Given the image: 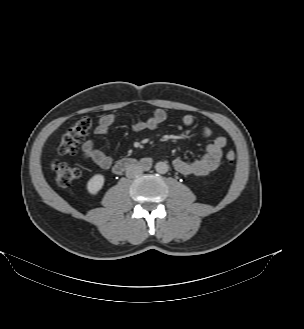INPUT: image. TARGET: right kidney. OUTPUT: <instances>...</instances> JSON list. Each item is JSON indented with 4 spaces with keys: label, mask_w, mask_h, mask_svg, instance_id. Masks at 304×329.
Masks as SVG:
<instances>
[{
    "label": "right kidney",
    "mask_w": 304,
    "mask_h": 329,
    "mask_svg": "<svg viewBox=\"0 0 304 329\" xmlns=\"http://www.w3.org/2000/svg\"><path fill=\"white\" fill-rule=\"evenodd\" d=\"M104 176L101 174H96L87 183V190L90 194H97L104 185Z\"/></svg>",
    "instance_id": "1"
}]
</instances>
